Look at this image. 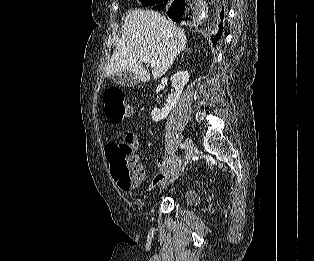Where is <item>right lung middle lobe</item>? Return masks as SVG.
Returning <instances> with one entry per match:
<instances>
[{
    "label": "right lung middle lobe",
    "mask_w": 314,
    "mask_h": 261,
    "mask_svg": "<svg viewBox=\"0 0 314 261\" xmlns=\"http://www.w3.org/2000/svg\"><path fill=\"white\" fill-rule=\"evenodd\" d=\"M143 6H152L160 3L162 0H140Z\"/></svg>",
    "instance_id": "1"
}]
</instances>
